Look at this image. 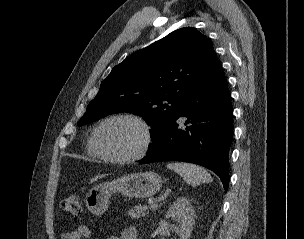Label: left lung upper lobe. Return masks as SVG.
Segmentation results:
<instances>
[{
  "label": "left lung upper lobe",
  "mask_w": 304,
  "mask_h": 239,
  "mask_svg": "<svg viewBox=\"0 0 304 239\" xmlns=\"http://www.w3.org/2000/svg\"><path fill=\"white\" fill-rule=\"evenodd\" d=\"M216 60L212 45L199 31L192 27L173 31L116 65L78 126L113 113H135L151 125L154 142Z\"/></svg>",
  "instance_id": "obj_1"
}]
</instances>
